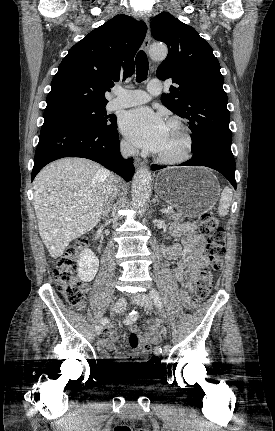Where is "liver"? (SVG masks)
<instances>
[{
    "label": "liver",
    "mask_w": 275,
    "mask_h": 431,
    "mask_svg": "<svg viewBox=\"0 0 275 431\" xmlns=\"http://www.w3.org/2000/svg\"><path fill=\"white\" fill-rule=\"evenodd\" d=\"M110 172L84 158H63L43 168L33 182L39 234L50 255L99 222L108 198Z\"/></svg>",
    "instance_id": "liver-1"
}]
</instances>
